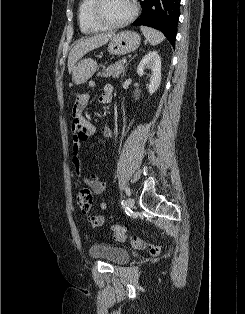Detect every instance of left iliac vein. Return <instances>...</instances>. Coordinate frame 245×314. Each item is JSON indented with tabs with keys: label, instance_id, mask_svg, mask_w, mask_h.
<instances>
[{
	"label": "left iliac vein",
	"instance_id": "4c4485c4",
	"mask_svg": "<svg viewBox=\"0 0 245 314\" xmlns=\"http://www.w3.org/2000/svg\"><path fill=\"white\" fill-rule=\"evenodd\" d=\"M134 199L132 197H129L128 200H127V205L130 209H133L134 207Z\"/></svg>",
	"mask_w": 245,
	"mask_h": 314
}]
</instances>
